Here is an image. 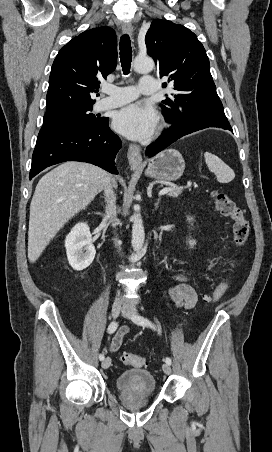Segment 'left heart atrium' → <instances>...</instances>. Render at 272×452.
Here are the masks:
<instances>
[{
    "mask_svg": "<svg viewBox=\"0 0 272 452\" xmlns=\"http://www.w3.org/2000/svg\"><path fill=\"white\" fill-rule=\"evenodd\" d=\"M157 120V113L152 107L131 104L116 113L113 128L130 139L143 140L152 133Z\"/></svg>",
    "mask_w": 272,
    "mask_h": 452,
    "instance_id": "obj_1",
    "label": "left heart atrium"
}]
</instances>
